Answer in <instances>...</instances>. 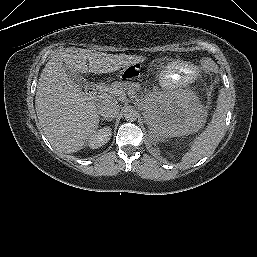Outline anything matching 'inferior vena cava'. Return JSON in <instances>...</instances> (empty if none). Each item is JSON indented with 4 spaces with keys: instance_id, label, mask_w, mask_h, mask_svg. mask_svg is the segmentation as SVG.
<instances>
[{
    "instance_id": "1",
    "label": "inferior vena cava",
    "mask_w": 257,
    "mask_h": 257,
    "mask_svg": "<svg viewBox=\"0 0 257 257\" xmlns=\"http://www.w3.org/2000/svg\"><path fill=\"white\" fill-rule=\"evenodd\" d=\"M120 111L119 105L116 103H107L99 109V114L105 119H112L117 116Z\"/></svg>"
}]
</instances>
